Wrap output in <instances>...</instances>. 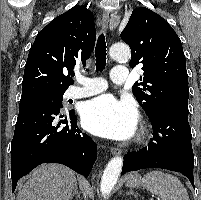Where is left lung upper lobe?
I'll list each match as a JSON object with an SVG mask.
<instances>
[{
	"label": "left lung upper lobe",
	"instance_id": "obj_1",
	"mask_svg": "<svg viewBox=\"0 0 201 200\" xmlns=\"http://www.w3.org/2000/svg\"><path fill=\"white\" fill-rule=\"evenodd\" d=\"M121 38L132 51L130 67L143 64L141 82H135L132 91L147 115L165 102L188 103L186 59L181 41L167 21L148 8H137Z\"/></svg>",
	"mask_w": 201,
	"mask_h": 200
}]
</instances>
